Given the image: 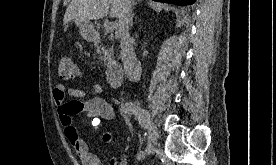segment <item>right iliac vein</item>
I'll return each mask as SVG.
<instances>
[{
	"label": "right iliac vein",
	"mask_w": 276,
	"mask_h": 165,
	"mask_svg": "<svg viewBox=\"0 0 276 165\" xmlns=\"http://www.w3.org/2000/svg\"><path fill=\"white\" fill-rule=\"evenodd\" d=\"M139 110L145 120V127L148 129V133H149L148 142L145 150V155L148 156L153 153L155 148L156 136L154 132V124L147 110H145L144 108H139Z\"/></svg>",
	"instance_id": "right-iliac-vein-1"
}]
</instances>
